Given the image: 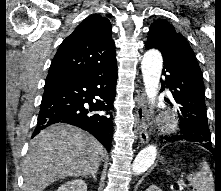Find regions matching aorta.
<instances>
[{
  "instance_id": "aorta-1",
  "label": "aorta",
  "mask_w": 221,
  "mask_h": 191,
  "mask_svg": "<svg viewBox=\"0 0 221 191\" xmlns=\"http://www.w3.org/2000/svg\"><path fill=\"white\" fill-rule=\"evenodd\" d=\"M163 67V58L156 49L148 50L142 59L141 69L146 95L151 104L155 103L158 95L160 76ZM157 147L149 145L142 149L134 159L132 171L134 174L144 173L154 163Z\"/></svg>"
}]
</instances>
